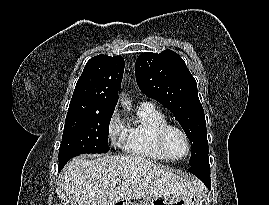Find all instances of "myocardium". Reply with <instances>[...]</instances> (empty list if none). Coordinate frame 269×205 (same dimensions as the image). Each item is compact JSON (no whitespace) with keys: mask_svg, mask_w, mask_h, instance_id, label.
<instances>
[{"mask_svg":"<svg viewBox=\"0 0 269 205\" xmlns=\"http://www.w3.org/2000/svg\"><path fill=\"white\" fill-rule=\"evenodd\" d=\"M173 130L180 132L185 138V141L187 144V152L182 157L173 156L167 148V137H168V134ZM155 142H156V146L159 152L164 157H166L168 160H171V161H181V160L186 159L190 155L191 150H192V143H191L188 133L186 132L184 128L175 124L167 123L161 126L156 132Z\"/></svg>","mask_w":269,"mask_h":205,"instance_id":"1","label":"myocardium"}]
</instances>
